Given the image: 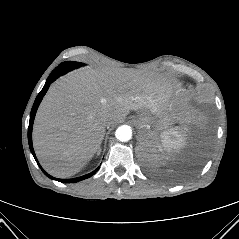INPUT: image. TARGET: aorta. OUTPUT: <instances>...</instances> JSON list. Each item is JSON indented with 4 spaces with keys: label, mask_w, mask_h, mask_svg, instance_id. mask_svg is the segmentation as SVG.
<instances>
[{
    "label": "aorta",
    "mask_w": 239,
    "mask_h": 239,
    "mask_svg": "<svg viewBox=\"0 0 239 239\" xmlns=\"http://www.w3.org/2000/svg\"><path fill=\"white\" fill-rule=\"evenodd\" d=\"M116 138L121 142H127L132 138V130L128 125H122L116 129Z\"/></svg>",
    "instance_id": "obj_1"
}]
</instances>
